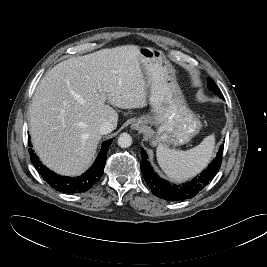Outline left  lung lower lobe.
<instances>
[{
	"label": "left lung lower lobe",
	"instance_id": "left-lung-lower-lobe-1",
	"mask_svg": "<svg viewBox=\"0 0 267 267\" xmlns=\"http://www.w3.org/2000/svg\"><path fill=\"white\" fill-rule=\"evenodd\" d=\"M223 145L220 147L217 156L202 174L191 182L182 185H171L161 179L152 169L147 161V155L141 148L142 160L140 162L141 171L149 188L159 198L169 201H183L194 197L199 193L216 175L222 161Z\"/></svg>",
	"mask_w": 267,
	"mask_h": 267
}]
</instances>
